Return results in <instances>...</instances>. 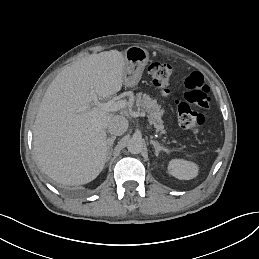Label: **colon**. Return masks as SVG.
I'll use <instances>...</instances> for the list:
<instances>
[{
  "instance_id": "colon-1",
  "label": "colon",
  "mask_w": 259,
  "mask_h": 259,
  "mask_svg": "<svg viewBox=\"0 0 259 259\" xmlns=\"http://www.w3.org/2000/svg\"><path fill=\"white\" fill-rule=\"evenodd\" d=\"M172 66L168 63L154 62L149 66V75L153 84L164 95L170 92ZM184 100L177 101L178 123L183 129L198 133L204 122V115L194 107L207 109L210 105V88L201 72H192L185 80Z\"/></svg>"
}]
</instances>
